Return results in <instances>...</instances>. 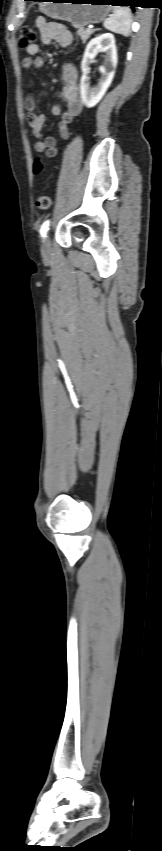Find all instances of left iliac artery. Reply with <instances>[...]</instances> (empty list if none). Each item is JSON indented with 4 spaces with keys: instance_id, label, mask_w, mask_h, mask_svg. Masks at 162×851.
<instances>
[{
    "instance_id": "obj_1",
    "label": "left iliac artery",
    "mask_w": 162,
    "mask_h": 851,
    "mask_svg": "<svg viewBox=\"0 0 162 851\" xmlns=\"http://www.w3.org/2000/svg\"><path fill=\"white\" fill-rule=\"evenodd\" d=\"M49 230V220L45 221L40 229L41 237H45L47 231Z\"/></svg>"
}]
</instances>
